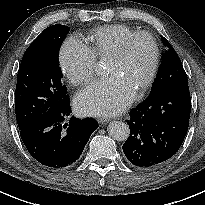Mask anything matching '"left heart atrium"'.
<instances>
[{"mask_svg":"<svg viewBox=\"0 0 205 205\" xmlns=\"http://www.w3.org/2000/svg\"><path fill=\"white\" fill-rule=\"evenodd\" d=\"M136 90L119 76L99 80L81 91L75 99L81 115H113L123 111L135 98Z\"/></svg>","mask_w":205,"mask_h":205,"instance_id":"left-heart-atrium-1","label":"left heart atrium"}]
</instances>
